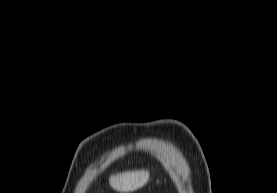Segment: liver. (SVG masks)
I'll return each mask as SVG.
<instances>
[{
	"label": "liver",
	"mask_w": 277,
	"mask_h": 193,
	"mask_svg": "<svg viewBox=\"0 0 277 193\" xmlns=\"http://www.w3.org/2000/svg\"><path fill=\"white\" fill-rule=\"evenodd\" d=\"M147 170L125 171L109 178L110 186L118 192H132L144 186L149 180Z\"/></svg>",
	"instance_id": "6515ba94"
}]
</instances>
